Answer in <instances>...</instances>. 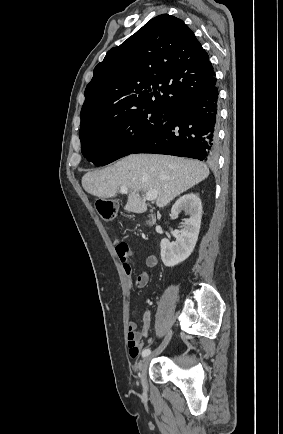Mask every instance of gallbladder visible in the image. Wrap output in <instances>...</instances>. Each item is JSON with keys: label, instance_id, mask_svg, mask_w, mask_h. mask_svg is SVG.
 Segmentation results:
<instances>
[{"label": "gallbladder", "instance_id": "gallbladder-1", "mask_svg": "<svg viewBox=\"0 0 283 434\" xmlns=\"http://www.w3.org/2000/svg\"><path fill=\"white\" fill-rule=\"evenodd\" d=\"M147 223H148V224H151L152 222H151V221H148Z\"/></svg>", "mask_w": 283, "mask_h": 434}]
</instances>
